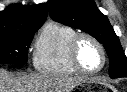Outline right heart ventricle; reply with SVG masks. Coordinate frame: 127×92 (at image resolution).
<instances>
[{"label":"right heart ventricle","instance_id":"e07e8e85","mask_svg":"<svg viewBox=\"0 0 127 92\" xmlns=\"http://www.w3.org/2000/svg\"><path fill=\"white\" fill-rule=\"evenodd\" d=\"M77 31L57 21L47 22L39 32L33 51L34 68L44 74L73 75L78 71L69 59V46Z\"/></svg>","mask_w":127,"mask_h":92}]
</instances>
